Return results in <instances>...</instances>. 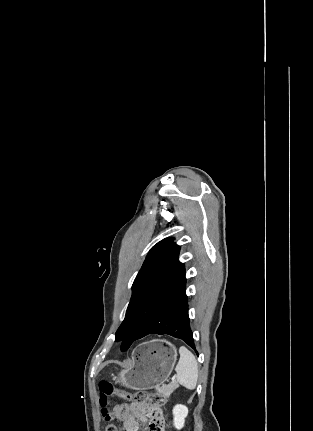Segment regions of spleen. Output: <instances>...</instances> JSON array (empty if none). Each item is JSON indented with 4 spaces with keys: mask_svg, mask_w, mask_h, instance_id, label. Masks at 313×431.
<instances>
[{
    "mask_svg": "<svg viewBox=\"0 0 313 431\" xmlns=\"http://www.w3.org/2000/svg\"><path fill=\"white\" fill-rule=\"evenodd\" d=\"M180 359L176 365L177 382L189 390L196 388L198 364L195 356L185 347L179 348Z\"/></svg>",
    "mask_w": 313,
    "mask_h": 431,
    "instance_id": "obj_1",
    "label": "spleen"
}]
</instances>
